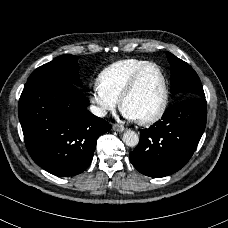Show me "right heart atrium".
<instances>
[{"mask_svg":"<svg viewBox=\"0 0 228 228\" xmlns=\"http://www.w3.org/2000/svg\"><path fill=\"white\" fill-rule=\"evenodd\" d=\"M91 102L94 104L97 113L102 116L117 106V101L101 92L96 82L92 87Z\"/></svg>","mask_w":228,"mask_h":228,"instance_id":"obj_1","label":"right heart atrium"}]
</instances>
